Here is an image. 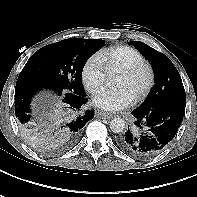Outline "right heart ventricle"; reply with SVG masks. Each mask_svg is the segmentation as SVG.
I'll return each mask as SVG.
<instances>
[{"mask_svg": "<svg viewBox=\"0 0 197 197\" xmlns=\"http://www.w3.org/2000/svg\"><path fill=\"white\" fill-rule=\"evenodd\" d=\"M98 57L109 73L120 72L144 61L143 55L138 50L126 45L106 48L99 52Z\"/></svg>", "mask_w": 197, "mask_h": 197, "instance_id": "right-heart-ventricle-1", "label": "right heart ventricle"}]
</instances>
